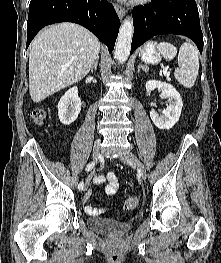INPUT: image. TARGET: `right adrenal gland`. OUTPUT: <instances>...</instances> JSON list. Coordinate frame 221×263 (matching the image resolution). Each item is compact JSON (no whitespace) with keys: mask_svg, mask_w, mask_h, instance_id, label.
Instances as JSON below:
<instances>
[{"mask_svg":"<svg viewBox=\"0 0 221 263\" xmlns=\"http://www.w3.org/2000/svg\"><path fill=\"white\" fill-rule=\"evenodd\" d=\"M97 65H98V59L94 62L93 66L91 67V72H93L94 70H97Z\"/></svg>","mask_w":221,"mask_h":263,"instance_id":"obj_1","label":"right adrenal gland"}]
</instances>
